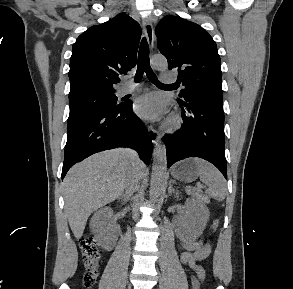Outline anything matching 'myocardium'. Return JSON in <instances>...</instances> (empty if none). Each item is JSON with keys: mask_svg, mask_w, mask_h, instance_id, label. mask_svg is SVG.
I'll use <instances>...</instances> for the list:
<instances>
[{"mask_svg": "<svg viewBox=\"0 0 293 289\" xmlns=\"http://www.w3.org/2000/svg\"><path fill=\"white\" fill-rule=\"evenodd\" d=\"M181 123V118L178 115H174L168 120L165 127L168 131H176L180 128Z\"/></svg>", "mask_w": 293, "mask_h": 289, "instance_id": "myocardium-1", "label": "myocardium"}]
</instances>
